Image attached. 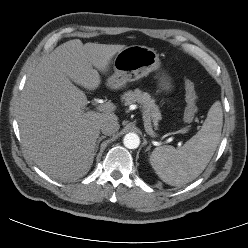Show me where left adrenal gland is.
Listing matches in <instances>:
<instances>
[{
    "mask_svg": "<svg viewBox=\"0 0 248 248\" xmlns=\"http://www.w3.org/2000/svg\"><path fill=\"white\" fill-rule=\"evenodd\" d=\"M151 148V144L147 147L146 151H149Z\"/></svg>",
    "mask_w": 248,
    "mask_h": 248,
    "instance_id": "left-adrenal-gland-1",
    "label": "left adrenal gland"
}]
</instances>
